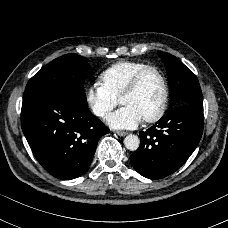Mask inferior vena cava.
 I'll use <instances>...</instances> for the list:
<instances>
[{"instance_id":"obj_1","label":"inferior vena cava","mask_w":228,"mask_h":228,"mask_svg":"<svg viewBox=\"0 0 228 228\" xmlns=\"http://www.w3.org/2000/svg\"><path fill=\"white\" fill-rule=\"evenodd\" d=\"M98 116H103L104 115V110H100L97 113H95Z\"/></svg>"}]
</instances>
